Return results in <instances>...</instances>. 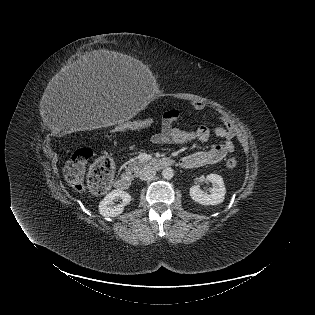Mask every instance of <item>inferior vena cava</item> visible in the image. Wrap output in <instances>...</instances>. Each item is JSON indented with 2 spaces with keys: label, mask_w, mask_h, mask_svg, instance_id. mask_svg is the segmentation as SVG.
Masks as SVG:
<instances>
[{
  "label": "inferior vena cava",
  "mask_w": 315,
  "mask_h": 315,
  "mask_svg": "<svg viewBox=\"0 0 315 315\" xmlns=\"http://www.w3.org/2000/svg\"><path fill=\"white\" fill-rule=\"evenodd\" d=\"M156 175V169L152 166L145 165L139 172V178L143 181L150 180Z\"/></svg>",
  "instance_id": "inferior-vena-cava-1"
}]
</instances>
